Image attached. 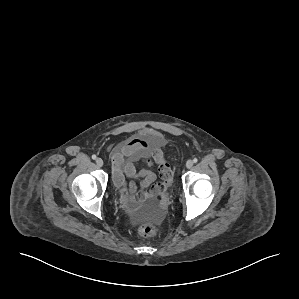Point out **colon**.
Here are the masks:
<instances>
[{
	"label": "colon",
	"mask_w": 299,
	"mask_h": 299,
	"mask_svg": "<svg viewBox=\"0 0 299 299\" xmlns=\"http://www.w3.org/2000/svg\"><path fill=\"white\" fill-rule=\"evenodd\" d=\"M158 232V226L153 223H149L141 227L140 233L142 236L151 237L156 235Z\"/></svg>",
	"instance_id": "1"
}]
</instances>
